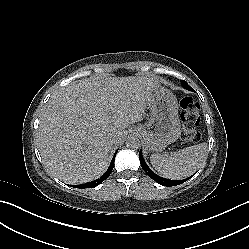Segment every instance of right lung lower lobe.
Listing matches in <instances>:
<instances>
[{"label": "right lung lower lobe", "instance_id": "right-lung-lower-lobe-1", "mask_svg": "<svg viewBox=\"0 0 249 249\" xmlns=\"http://www.w3.org/2000/svg\"><path fill=\"white\" fill-rule=\"evenodd\" d=\"M115 156L116 154L114 155L113 159H112V162L108 168V170L105 172L104 175H102L99 179L97 180H94L92 182H89V183H86V184H81V185H78L77 187L78 188H93V187H96L98 186L99 184H101L105 179H107L109 177V175L111 174L112 172V169L114 167V160H115Z\"/></svg>", "mask_w": 249, "mask_h": 249}]
</instances>
